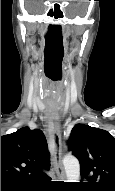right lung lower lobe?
<instances>
[{
	"mask_svg": "<svg viewBox=\"0 0 115 191\" xmlns=\"http://www.w3.org/2000/svg\"><path fill=\"white\" fill-rule=\"evenodd\" d=\"M50 183V178H46L40 182L22 186V187H11V186H1V191H31V190H43L46 184Z\"/></svg>",
	"mask_w": 115,
	"mask_h": 191,
	"instance_id": "1",
	"label": "right lung lower lobe"
}]
</instances>
